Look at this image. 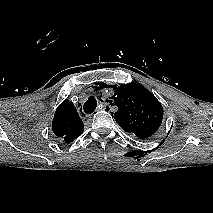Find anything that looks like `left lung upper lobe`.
I'll use <instances>...</instances> for the list:
<instances>
[{
	"mask_svg": "<svg viewBox=\"0 0 213 213\" xmlns=\"http://www.w3.org/2000/svg\"><path fill=\"white\" fill-rule=\"evenodd\" d=\"M112 87L115 94L109 102L118 110L111 115L120 127L140 139L153 135L163 119V107L156 97L135 82Z\"/></svg>",
	"mask_w": 213,
	"mask_h": 213,
	"instance_id": "left-lung-upper-lobe-1",
	"label": "left lung upper lobe"
}]
</instances>
